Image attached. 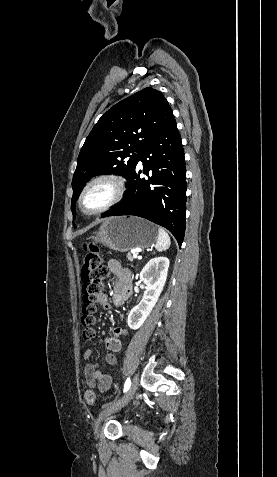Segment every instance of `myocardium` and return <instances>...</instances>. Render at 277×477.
Wrapping results in <instances>:
<instances>
[{
    "mask_svg": "<svg viewBox=\"0 0 277 477\" xmlns=\"http://www.w3.org/2000/svg\"><path fill=\"white\" fill-rule=\"evenodd\" d=\"M101 183H106L111 186L112 188V194L109 197V199L100 207L94 209V210H86L84 207V199L88 192L96 185L101 184ZM125 182L124 179L114 173H103L99 174L92 179H90L82 188L78 200H77V205L79 208V211L87 216H94V215H99L101 213H104L117 205L124 197L125 194Z\"/></svg>",
    "mask_w": 277,
    "mask_h": 477,
    "instance_id": "myocardium-1",
    "label": "myocardium"
}]
</instances>
